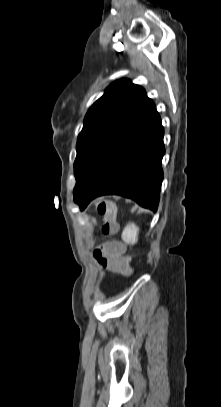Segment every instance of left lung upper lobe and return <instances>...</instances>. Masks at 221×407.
<instances>
[{
    "instance_id": "obj_1",
    "label": "left lung upper lobe",
    "mask_w": 221,
    "mask_h": 407,
    "mask_svg": "<svg viewBox=\"0 0 221 407\" xmlns=\"http://www.w3.org/2000/svg\"><path fill=\"white\" fill-rule=\"evenodd\" d=\"M148 100L142 87L128 79H121L112 83L103 96L90 107L77 139L74 195L83 187L111 145Z\"/></svg>"
}]
</instances>
